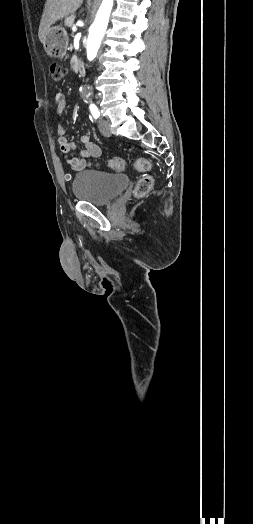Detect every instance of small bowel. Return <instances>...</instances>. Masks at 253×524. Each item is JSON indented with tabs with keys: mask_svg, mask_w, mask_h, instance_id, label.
<instances>
[{
	"mask_svg": "<svg viewBox=\"0 0 253 524\" xmlns=\"http://www.w3.org/2000/svg\"><path fill=\"white\" fill-rule=\"evenodd\" d=\"M55 98L57 103L56 112L58 115H62L67 106L66 98L61 92H58ZM57 134L59 136L58 143L64 159L74 171L83 170L86 167L88 158L99 157L101 155L100 147L92 143L88 135H81L80 142L82 143V149L80 150V155L78 157L70 158V152L75 150L76 147L73 142H70L65 137V128L61 123L57 127Z\"/></svg>",
	"mask_w": 253,
	"mask_h": 524,
	"instance_id": "1",
	"label": "small bowel"
}]
</instances>
